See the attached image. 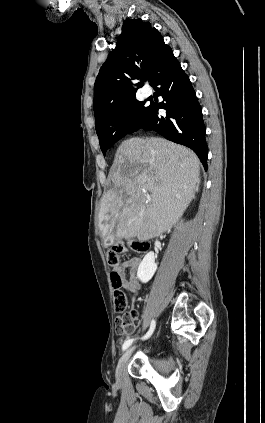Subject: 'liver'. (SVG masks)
<instances>
[{
    "label": "liver",
    "instance_id": "liver-1",
    "mask_svg": "<svg viewBox=\"0 0 265 423\" xmlns=\"http://www.w3.org/2000/svg\"><path fill=\"white\" fill-rule=\"evenodd\" d=\"M110 177L114 186L103 194L99 211L101 237L116 226L118 241L147 240L181 218L199 189L200 161L165 139L133 137L118 147Z\"/></svg>",
    "mask_w": 265,
    "mask_h": 423
}]
</instances>
